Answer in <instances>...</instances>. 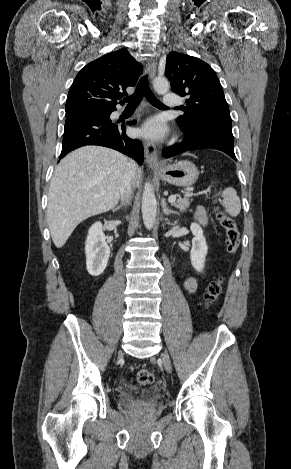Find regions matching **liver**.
Segmentation results:
<instances>
[{
  "mask_svg": "<svg viewBox=\"0 0 291 469\" xmlns=\"http://www.w3.org/2000/svg\"><path fill=\"white\" fill-rule=\"evenodd\" d=\"M127 163L123 154L100 146L79 148L61 160L51 179L47 206L57 248L64 246L79 223L117 205ZM141 176L136 168L135 186Z\"/></svg>",
  "mask_w": 291,
  "mask_h": 469,
  "instance_id": "liver-1",
  "label": "liver"
}]
</instances>
